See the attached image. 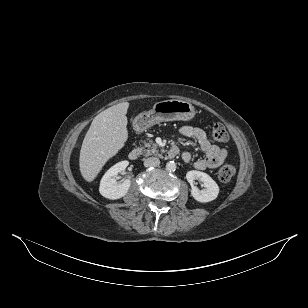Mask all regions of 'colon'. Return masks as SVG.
Returning <instances> with one entry per match:
<instances>
[{"label": "colon", "mask_w": 308, "mask_h": 308, "mask_svg": "<svg viewBox=\"0 0 308 308\" xmlns=\"http://www.w3.org/2000/svg\"><path fill=\"white\" fill-rule=\"evenodd\" d=\"M211 140L217 143L226 142L229 138L226 128L221 124L213 126L210 134ZM235 174V167L230 163H223L218 169V178L222 182H229Z\"/></svg>", "instance_id": "colon-1"}]
</instances>
